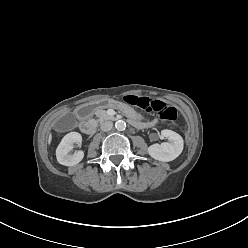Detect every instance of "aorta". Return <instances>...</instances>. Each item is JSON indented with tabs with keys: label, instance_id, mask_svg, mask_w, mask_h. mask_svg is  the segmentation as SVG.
Listing matches in <instances>:
<instances>
[{
	"label": "aorta",
	"instance_id": "1",
	"mask_svg": "<svg viewBox=\"0 0 248 248\" xmlns=\"http://www.w3.org/2000/svg\"><path fill=\"white\" fill-rule=\"evenodd\" d=\"M115 128L118 130V131H123L126 129V123L125 121L123 120H118L116 121L115 123Z\"/></svg>",
	"mask_w": 248,
	"mask_h": 248
}]
</instances>
